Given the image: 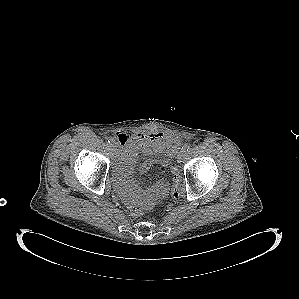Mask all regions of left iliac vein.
<instances>
[{
	"mask_svg": "<svg viewBox=\"0 0 299 299\" xmlns=\"http://www.w3.org/2000/svg\"><path fill=\"white\" fill-rule=\"evenodd\" d=\"M185 157V152L184 151H180L177 155V160L178 162H182L184 160Z\"/></svg>",
	"mask_w": 299,
	"mask_h": 299,
	"instance_id": "4c4485c4",
	"label": "left iliac vein"
}]
</instances>
